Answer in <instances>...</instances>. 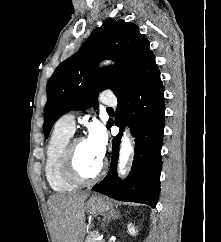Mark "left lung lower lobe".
I'll list each match as a JSON object with an SVG mask.
<instances>
[{"label":"left lung lower lobe","mask_w":221,"mask_h":242,"mask_svg":"<svg viewBox=\"0 0 221 242\" xmlns=\"http://www.w3.org/2000/svg\"><path fill=\"white\" fill-rule=\"evenodd\" d=\"M115 124H128L135 137V155L128 178L119 181L116 173L122 130L112 141L113 157L108 175L92 190L120 201L156 206L160 192L161 147L164 131V89L157 65L116 94ZM113 123H109L111 127Z\"/></svg>","instance_id":"obj_1"}]
</instances>
